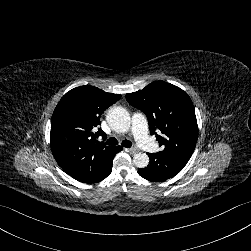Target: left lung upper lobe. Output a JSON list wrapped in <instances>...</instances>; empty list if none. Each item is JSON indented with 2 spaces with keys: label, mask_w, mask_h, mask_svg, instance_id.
Here are the masks:
<instances>
[{
  "label": "left lung upper lobe",
  "mask_w": 251,
  "mask_h": 251,
  "mask_svg": "<svg viewBox=\"0 0 251 251\" xmlns=\"http://www.w3.org/2000/svg\"><path fill=\"white\" fill-rule=\"evenodd\" d=\"M126 100L146 114L150 134L163 147L161 152L188 162L198 138L195 109L188 94L175 85L156 81L126 94Z\"/></svg>",
  "instance_id": "5c2ea615"
}]
</instances>
